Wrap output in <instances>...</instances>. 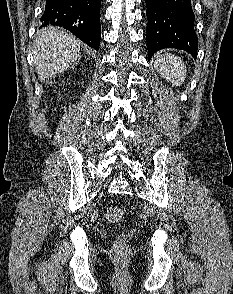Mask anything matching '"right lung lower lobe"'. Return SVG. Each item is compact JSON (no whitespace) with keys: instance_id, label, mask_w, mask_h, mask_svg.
<instances>
[{"instance_id":"98d812e1","label":"right lung lower lobe","mask_w":233,"mask_h":294,"mask_svg":"<svg viewBox=\"0 0 233 294\" xmlns=\"http://www.w3.org/2000/svg\"><path fill=\"white\" fill-rule=\"evenodd\" d=\"M101 0H46L41 17L42 27L60 26L99 49Z\"/></svg>"}]
</instances>
